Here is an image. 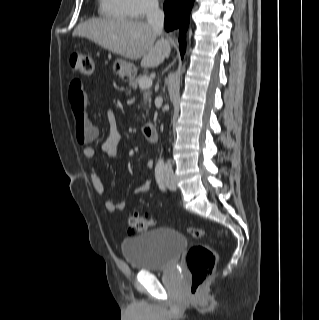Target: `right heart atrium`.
Listing matches in <instances>:
<instances>
[{
  "label": "right heart atrium",
  "mask_w": 319,
  "mask_h": 320,
  "mask_svg": "<svg viewBox=\"0 0 319 320\" xmlns=\"http://www.w3.org/2000/svg\"><path fill=\"white\" fill-rule=\"evenodd\" d=\"M132 18H143L159 9V0H123Z\"/></svg>",
  "instance_id": "1"
}]
</instances>
